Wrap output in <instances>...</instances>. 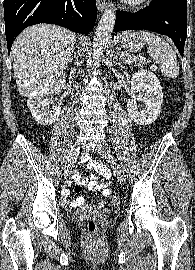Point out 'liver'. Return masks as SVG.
<instances>
[{
  "mask_svg": "<svg viewBox=\"0 0 195 270\" xmlns=\"http://www.w3.org/2000/svg\"><path fill=\"white\" fill-rule=\"evenodd\" d=\"M75 42V33L56 25L25 29L11 49L20 95L29 97L44 82L58 77L71 60Z\"/></svg>",
  "mask_w": 195,
  "mask_h": 270,
  "instance_id": "1",
  "label": "liver"
}]
</instances>
